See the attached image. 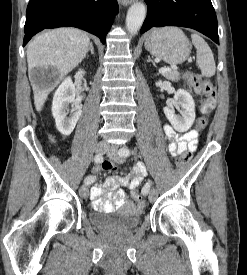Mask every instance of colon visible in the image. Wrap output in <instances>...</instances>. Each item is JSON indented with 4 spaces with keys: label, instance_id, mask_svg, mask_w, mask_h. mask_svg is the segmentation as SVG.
Returning <instances> with one entry per match:
<instances>
[{
    "label": "colon",
    "instance_id": "1",
    "mask_svg": "<svg viewBox=\"0 0 247 275\" xmlns=\"http://www.w3.org/2000/svg\"><path fill=\"white\" fill-rule=\"evenodd\" d=\"M185 78L193 87L195 92L203 96L201 103L202 116H200L196 121V129L201 131L207 127L209 116L216 107L217 90L212 82L202 78L196 73H186ZM191 156V152L186 151L174 159V164L178 167L183 166L191 159ZM103 168L111 170L114 168V165L111 162L106 161L103 163ZM132 197L135 201L142 203L143 192L137 188L132 189Z\"/></svg>",
    "mask_w": 247,
    "mask_h": 275
}]
</instances>
